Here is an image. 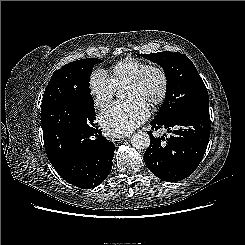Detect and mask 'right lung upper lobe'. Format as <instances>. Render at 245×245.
<instances>
[{
    "label": "right lung upper lobe",
    "mask_w": 245,
    "mask_h": 245,
    "mask_svg": "<svg viewBox=\"0 0 245 245\" xmlns=\"http://www.w3.org/2000/svg\"><path fill=\"white\" fill-rule=\"evenodd\" d=\"M64 66L57 70L48 82L47 88L45 89L42 106H41V122L42 126L48 114L54 112L58 106V103L63 95L64 91Z\"/></svg>",
    "instance_id": "right-lung-upper-lobe-1"
}]
</instances>
